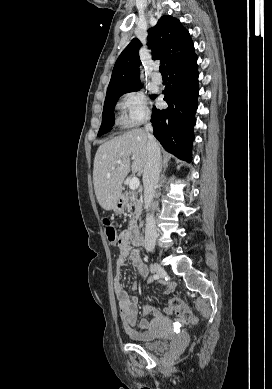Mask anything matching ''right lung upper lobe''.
<instances>
[{"label":"right lung upper lobe","instance_id":"cb5924a9","mask_svg":"<svg viewBox=\"0 0 272 389\" xmlns=\"http://www.w3.org/2000/svg\"><path fill=\"white\" fill-rule=\"evenodd\" d=\"M148 31L147 44L152 49V59H160L166 64L167 71L195 54L188 30L174 17L162 16ZM140 46V41L135 38L122 51L114 65L107 94L141 84L138 70Z\"/></svg>","mask_w":272,"mask_h":389}]
</instances>
